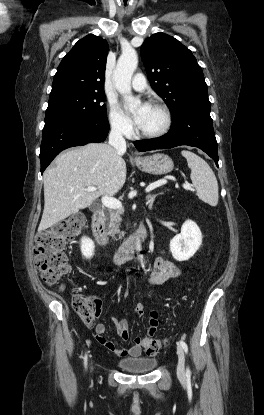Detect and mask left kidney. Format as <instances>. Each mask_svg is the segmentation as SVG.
Wrapping results in <instances>:
<instances>
[{"mask_svg": "<svg viewBox=\"0 0 264 415\" xmlns=\"http://www.w3.org/2000/svg\"><path fill=\"white\" fill-rule=\"evenodd\" d=\"M202 244V233L197 224L187 220L181 227V233L170 241V251L177 261L189 260Z\"/></svg>", "mask_w": 264, "mask_h": 415, "instance_id": "5707ae66", "label": "left kidney"}]
</instances>
